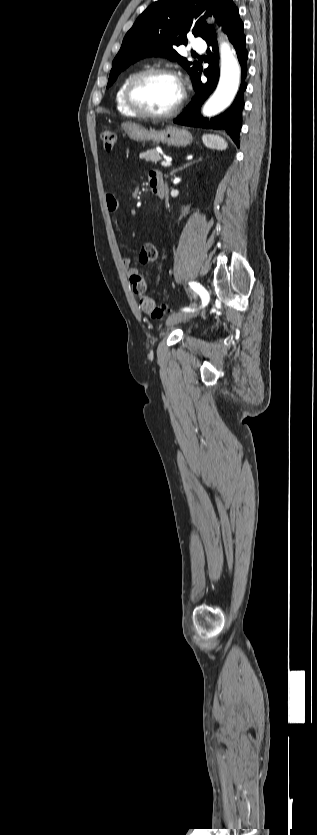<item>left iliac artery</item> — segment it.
<instances>
[{"label":"left iliac artery","instance_id":"obj_1","mask_svg":"<svg viewBox=\"0 0 317 835\" xmlns=\"http://www.w3.org/2000/svg\"><path fill=\"white\" fill-rule=\"evenodd\" d=\"M189 285L200 296V298L203 301V305H206L208 303V300H209V294L206 291V289L200 283H197V282H190ZM191 310L192 309L188 308V307H185V308L182 309V311H191Z\"/></svg>","mask_w":317,"mask_h":835}]
</instances>
